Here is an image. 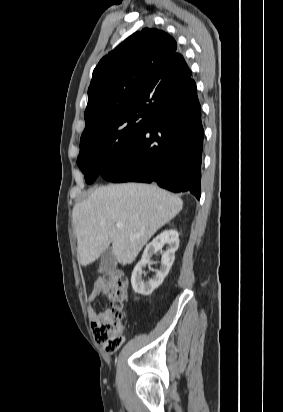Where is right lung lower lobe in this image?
I'll use <instances>...</instances> for the list:
<instances>
[{"mask_svg": "<svg viewBox=\"0 0 283 412\" xmlns=\"http://www.w3.org/2000/svg\"><path fill=\"white\" fill-rule=\"evenodd\" d=\"M203 133L196 84L189 78L160 103L128 152L100 175L111 182H155L199 199Z\"/></svg>", "mask_w": 283, "mask_h": 412, "instance_id": "right-lung-lower-lobe-1", "label": "right lung lower lobe"}]
</instances>
